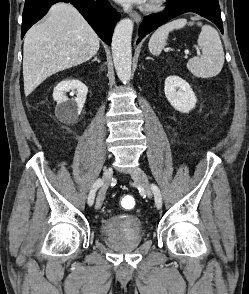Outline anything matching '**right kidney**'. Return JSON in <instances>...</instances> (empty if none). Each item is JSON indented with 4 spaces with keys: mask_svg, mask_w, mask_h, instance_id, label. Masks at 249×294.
I'll use <instances>...</instances> for the list:
<instances>
[{
    "mask_svg": "<svg viewBox=\"0 0 249 294\" xmlns=\"http://www.w3.org/2000/svg\"><path fill=\"white\" fill-rule=\"evenodd\" d=\"M76 90L73 99L68 98L65 92ZM88 93L87 86L78 79H66L59 82L53 91V98L57 102L56 113L63 122H74L80 115Z\"/></svg>",
    "mask_w": 249,
    "mask_h": 294,
    "instance_id": "obj_1",
    "label": "right kidney"
}]
</instances>
